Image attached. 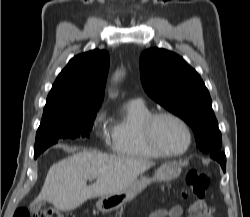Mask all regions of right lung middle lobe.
<instances>
[{
    "mask_svg": "<svg viewBox=\"0 0 250 217\" xmlns=\"http://www.w3.org/2000/svg\"><path fill=\"white\" fill-rule=\"evenodd\" d=\"M98 109L70 111L42 117L36 134L34 158L56 144L60 138L89 137Z\"/></svg>",
    "mask_w": 250,
    "mask_h": 217,
    "instance_id": "obj_1",
    "label": "right lung middle lobe"
}]
</instances>
